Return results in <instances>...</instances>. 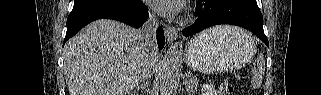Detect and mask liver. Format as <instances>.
<instances>
[{"label":"liver","instance_id":"liver-1","mask_svg":"<svg viewBox=\"0 0 321 95\" xmlns=\"http://www.w3.org/2000/svg\"><path fill=\"white\" fill-rule=\"evenodd\" d=\"M212 33L221 34L219 29ZM148 54L140 30L114 20L92 22L65 44L64 77L70 95H129ZM159 58L157 49L154 69Z\"/></svg>","mask_w":321,"mask_h":95}]
</instances>
